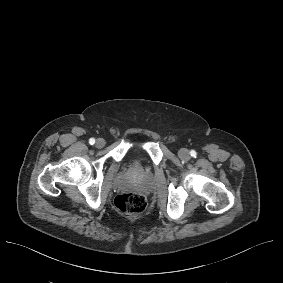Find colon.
<instances>
[{"mask_svg":"<svg viewBox=\"0 0 283 283\" xmlns=\"http://www.w3.org/2000/svg\"><path fill=\"white\" fill-rule=\"evenodd\" d=\"M115 205L122 213L136 216L145 210L146 200L143 195L131 192L117 196L115 198Z\"/></svg>","mask_w":283,"mask_h":283,"instance_id":"1","label":"colon"}]
</instances>
